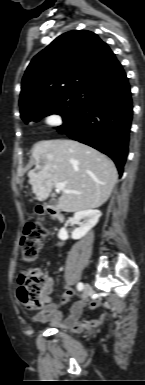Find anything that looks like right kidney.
<instances>
[{"instance_id":"ca27d5eb","label":"right kidney","mask_w":145,"mask_h":385,"mask_svg":"<svg viewBox=\"0 0 145 385\" xmlns=\"http://www.w3.org/2000/svg\"><path fill=\"white\" fill-rule=\"evenodd\" d=\"M100 217L99 210L88 209L76 212L73 219L79 223V227L72 232L71 238L78 240L84 237L98 223ZM81 220L84 221L80 222ZM58 237L61 240L69 238L65 228L59 230Z\"/></svg>"}]
</instances>
